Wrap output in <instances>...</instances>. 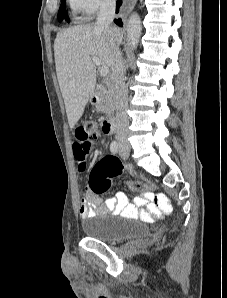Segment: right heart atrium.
<instances>
[{"label":"right heart atrium","mask_w":227,"mask_h":298,"mask_svg":"<svg viewBox=\"0 0 227 298\" xmlns=\"http://www.w3.org/2000/svg\"><path fill=\"white\" fill-rule=\"evenodd\" d=\"M114 2L115 0H69L73 10L82 12L88 17L110 9Z\"/></svg>","instance_id":"obj_1"}]
</instances>
